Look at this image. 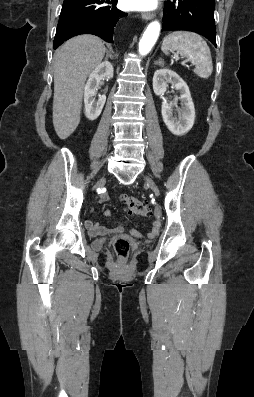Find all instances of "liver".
Listing matches in <instances>:
<instances>
[{
    "instance_id": "obj_1",
    "label": "liver",
    "mask_w": 254,
    "mask_h": 397,
    "mask_svg": "<svg viewBox=\"0 0 254 397\" xmlns=\"http://www.w3.org/2000/svg\"><path fill=\"white\" fill-rule=\"evenodd\" d=\"M106 48L94 35L65 42L54 55L53 125L60 139L68 138L80 122L84 83L102 61Z\"/></svg>"
}]
</instances>
